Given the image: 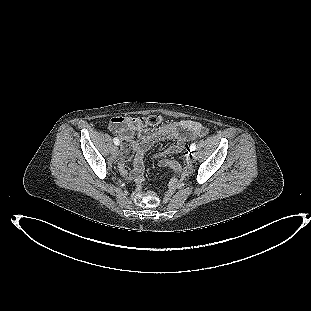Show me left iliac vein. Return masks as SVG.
<instances>
[{"label":"left iliac vein","mask_w":311,"mask_h":311,"mask_svg":"<svg viewBox=\"0 0 311 311\" xmlns=\"http://www.w3.org/2000/svg\"><path fill=\"white\" fill-rule=\"evenodd\" d=\"M195 159H196V155H195L194 152H192V153H191V160H192V161H195Z\"/></svg>","instance_id":"1"}]
</instances>
